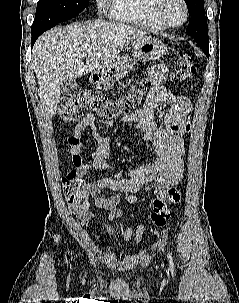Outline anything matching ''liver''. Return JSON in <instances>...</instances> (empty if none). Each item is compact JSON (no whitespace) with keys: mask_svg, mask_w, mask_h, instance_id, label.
<instances>
[{"mask_svg":"<svg viewBox=\"0 0 239 303\" xmlns=\"http://www.w3.org/2000/svg\"><path fill=\"white\" fill-rule=\"evenodd\" d=\"M146 36L124 23L105 21L55 27L41 35L33 49V68L49 116L57 111L63 81L113 62L130 42Z\"/></svg>","mask_w":239,"mask_h":303,"instance_id":"obj_1","label":"liver"}]
</instances>
